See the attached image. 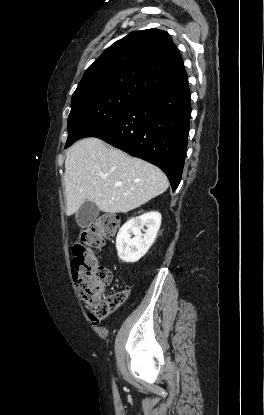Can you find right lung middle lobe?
<instances>
[{"label":"right lung middle lobe","mask_w":264,"mask_h":415,"mask_svg":"<svg viewBox=\"0 0 264 415\" xmlns=\"http://www.w3.org/2000/svg\"><path fill=\"white\" fill-rule=\"evenodd\" d=\"M141 99L142 97L136 94L122 91L73 98L68 116V139L65 148L113 121Z\"/></svg>","instance_id":"right-lung-middle-lobe-1"}]
</instances>
